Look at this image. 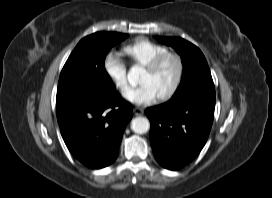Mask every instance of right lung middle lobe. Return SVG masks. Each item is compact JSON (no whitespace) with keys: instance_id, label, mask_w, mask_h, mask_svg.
<instances>
[{"instance_id":"dd1d6c3e","label":"right lung middle lobe","mask_w":272,"mask_h":198,"mask_svg":"<svg viewBox=\"0 0 272 198\" xmlns=\"http://www.w3.org/2000/svg\"><path fill=\"white\" fill-rule=\"evenodd\" d=\"M127 37L128 34L117 32H97L83 38L62 69L56 102L114 92L112 80L105 70V57L112 46Z\"/></svg>"}]
</instances>
